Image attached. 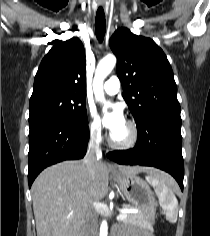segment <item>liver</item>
<instances>
[{"label":"liver","mask_w":210,"mask_h":236,"mask_svg":"<svg viewBox=\"0 0 210 236\" xmlns=\"http://www.w3.org/2000/svg\"><path fill=\"white\" fill-rule=\"evenodd\" d=\"M122 175L167 174L151 167L118 166ZM109 169L98 161L94 175L84 161H64L46 168L32 188L37 236H77L93 203L108 192Z\"/></svg>","instance_id":"6515ba94"}]
</instances>
